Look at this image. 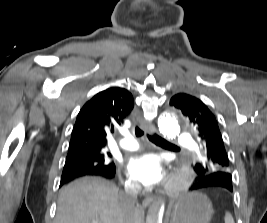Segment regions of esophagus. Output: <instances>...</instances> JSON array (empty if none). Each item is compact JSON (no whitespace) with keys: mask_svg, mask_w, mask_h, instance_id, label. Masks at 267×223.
<instances>
[{"mask_svg":"<svg viewBox=\"0 0 267 223\" xmlns=\"http://www.w3.org/2000/svg\"><path fill=\"white\" fill-rule=\"evenodd\" d=\"M140 127L148 134H154L157 133L156 128L150 124L149 122L145 120L140 121ZM154 200L153 197H146L143 201L142 204L144 207H147L152 201Z\"/></svg>","mask_w":267,"mask_h":223,"instance_id":"obj_1","label":"esophagus"}]
</instances>
